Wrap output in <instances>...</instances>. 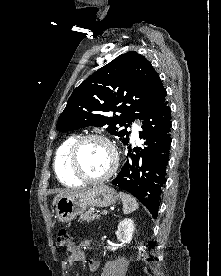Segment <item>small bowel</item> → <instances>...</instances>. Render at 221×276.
<instances>
[{"label": "small bowel", "mask_w": 221, "mask_h": 276, "mask_svg": "<svg viewBox=\"0 0 221 276\" xmlns=\"http://www.w3.org/2000/svg\"><path fill=\"white\" fill-rule=\"evenodd\" d=\"M90 246V242L85 240L81 242L79 245H73L70 249H68V258L67 263L72 266L76 262L79 261H85L88 263L89 269L91 272H94L99 267V261L92 259V258H86L84 249Z\"/></svg>", "instance_id": "1"}]
</instances>
